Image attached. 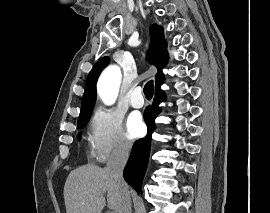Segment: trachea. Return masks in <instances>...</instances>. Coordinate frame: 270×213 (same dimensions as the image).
Returning <instances> with one entry per match:
<instances>
[{
    "label": "trachea",
    "instance_id": "obj_1",
    "mask_svg": "<svg viewBox=\"0 0 270 213\" xmlns=\"http://www.w3.org/2000/svg\"><path fill=\"white\" fill-rule=\"evenodd\" d=\"M144 94L147 99H151L154 94L153 81H149L144 87Z\"/></svg>",
    "mask_w": 270,
    "mask_h": 213
}]
</instances>
